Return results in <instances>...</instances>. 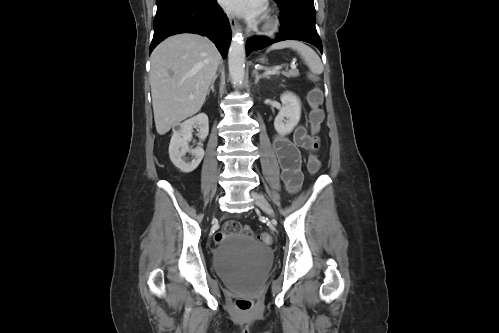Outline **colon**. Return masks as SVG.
I'll return each mask as SVG.
<instances>
[{
  "instance_id": "5ec220e1",
  "label": "colon",
  "mask_w": 499,
  "mask_h": 333,
  "mask_svg": "<svg viewBox=\"0 0 499 333\" xmlns=\"http://www.w3.org/2000/svg\"><path fill=\"white\" fill-rule=\"evenodd\" d=\"M312 79H316L315 76H311ZM308 102L311 106V111L309 114V122L311 126V131L313 133V145L312 152L307 159V169L311 174L317 173L321 168V162L316 154L319 148V137L318 133L321 128V124L324 119L323 110L320 108L323 102V94L319 87H314L308 93ZM229 235H246L250 237H256L266 244L272 243V237L269 233L263 232L257 236L254 235L252 229L245 224H241L236 221L227 222L223 229L215 235V242L217 244L224 241ZM253 300L250 298L240 297L235 300L236 307L242 311L247 312L253 307Z\"/></svg>"
}]
</instances>
